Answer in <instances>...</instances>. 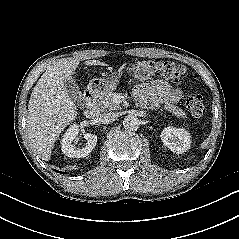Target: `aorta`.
I'll return each mask as SVG.
<instances>
[{"label":"aorta","instance_id":"aorta-1","mask_svg":"<svg viewBox=\"0 0 239 239\" xmlns=\"http://www.w3.org/2000/svg\"><path fill=\"white\" fill-rule=\"evenodd\" d=\"M123 126L127 130H137L140 126V120L133 115H128L123 120Z\"/></svg>","mask_w":239,"mask_h":239}]
</instances>
